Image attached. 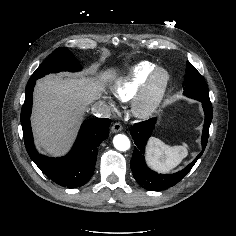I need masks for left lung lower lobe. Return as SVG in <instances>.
<instances>
[{
    "label": "left lung lower lobe",
    "instance_id": "1",
    "mask_svg": "<svg viewBox=\"0 0 236 236\" xmlns=\"http://www.w3.org/2000/svg\"><path fill=\"white\" fill-rule=\"evenodd\" d=\"M202 106L205 113V122L203 126L202 132V151L195 158L193 162L187 165L183 170L174 173V174H158L150 170L146 164L144 159V150L146 142L153 130L155 119H150L148 121H143L136 123L131 129V135L134 139V143L136 147H134V152L132 159L130 161L131 170L133 172L135 180L138 182L140 186L147 190L152 191H161L168 189L176 185L179 181H181L184 176L191 170L196 161L203 154L205 147L207 145L208 136H209V127L213 117V109L211 102H202Z\"/></svg>",
    "mask_w": 236,
    "mask_h": 236
}]
</instances>
